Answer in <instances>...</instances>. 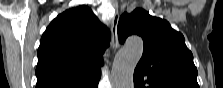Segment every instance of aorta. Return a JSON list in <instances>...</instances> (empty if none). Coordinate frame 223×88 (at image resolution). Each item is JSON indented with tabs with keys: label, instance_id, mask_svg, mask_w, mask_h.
Returning <instances> with one entry per match:
<instances>
[{
	"label": "aorta",
	"instance_id": "762f6f07",
	"mask_svg": "<svg viewBox=\"0 0 223 88\" xmlns=\"http://www.w3.org/2000/svg\"><path fill=\"white\" fill-rule=\"evenodd\" d=\"M143 53V41L139 37L129 38L116 54L112 65L113 88H133L135 67Z\"/></svg>",
	"mask_w": 223,
	"mask_h": 88
}]
</instances>
